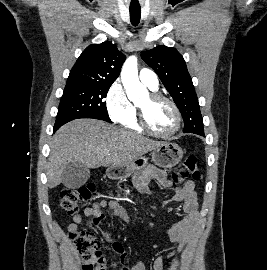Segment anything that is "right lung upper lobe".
Here are the masks:
<instances>
[{
    "instance_id": "cb5924a9",
    "label": "right lung upper lobe",
    "mask_w": 267,
    "mask_h": 270,
    "mask_svg": "<svg viewBox=\"0 0 267 270\" xmlns=\"http://www.w3.org/2000/svg\"><path fill=\"white\" fill-rule=\"evenodd\" d=\"M125 60V55L111 42L92 44L79 56L67 82L112 84Z\"/></svg>"
}]
</instances>
